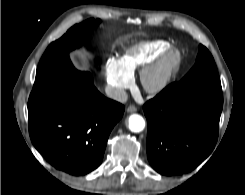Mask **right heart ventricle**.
I'll return each mask as SVG.
<instances>
[{
  "mask_svg": "<svg viewBox=\"0 0 245 195\" xmlns=\"http://www.w3.org/2000/svg\"><path fill=\"white\" fill-rule=\"evenodd\" d=\"M168 48H170L169 42L163 40L140 43L126 50L118 62L132 77L136 70L152 62Z\"/></svg>",
  "mask_w": 245,
  "mask_h": 195,
  "instance_id": "right-heart-ventricle-1",
  "label": "right heart ventricle"
}]
</instances>
